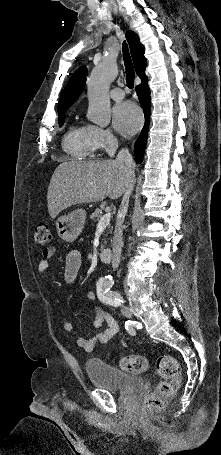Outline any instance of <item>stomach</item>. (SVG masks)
<instances>
[{"label":"stomach","instance_id":"1","mask_svg":"<svg viewBox=\"0 0 221 455\" xmlns=\"http://www.w3.org/2000/svg\"><path fill=\"white\" fill-rule=\"evenodd\" d=\"M85 218L86 212L83 209L60 216L55 223L58 236L66 242H74L82 232Z\"/></svg>","mask_w":221,"mask_h":455}]
</instances>
